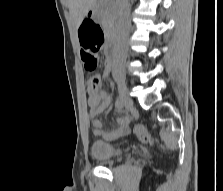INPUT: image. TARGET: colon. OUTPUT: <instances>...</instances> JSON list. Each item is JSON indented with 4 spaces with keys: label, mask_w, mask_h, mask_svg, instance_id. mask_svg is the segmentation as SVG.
Returning <instances> with one entry per match:
<instances>
[{
    "label": "colon",
    "mask_w": 223,
    "mask_h": 191,
    "mask_svg": "<svg viewBox=\"0 0 223 191\" xmlns=\"http://www.w3.org/2000/svg\"><path fill=\"white\" fill-rule=\"evenodd\" d=\"M79 37L82 45L81 59L84 67L86 70L93 72L99 64L98 51L104 41L103 32L98 27L84 26L80 30ZM99 83L100 78L96 73H93L88 79V85L92 89H95ZM134 132L142 142L147 144L153 143L152 137L142 126H135Z\"/></svg>",
    "instance_id": "obj_1"
}]
</instances>
